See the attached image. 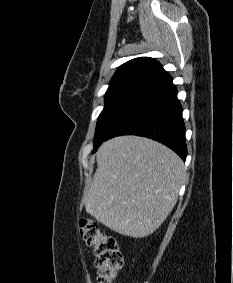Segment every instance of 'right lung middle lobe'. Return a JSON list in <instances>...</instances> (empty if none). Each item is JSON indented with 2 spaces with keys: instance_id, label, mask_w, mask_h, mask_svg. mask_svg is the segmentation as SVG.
<instances>
[{
  "instance_id": "dd1d6c3e",
  "label": "right lung middle lobe",
  "mask_w": 233,
  "mask_h": 283,
  "mask_svg": "<svg viewBox=\"0 0 233 283\" xmlns=\"http://www.w3.org/2000/svg\"><path fill=\"white\" fill-rule=\"evenodd\" d=\"M150 83L144 80L129 81L107 89L104 96V109L100 113L96 125L92 153L105 141L111 128Z\"/></svg>"
}]
</instances>
